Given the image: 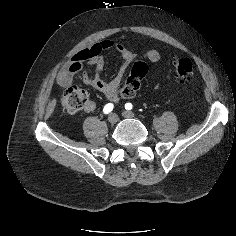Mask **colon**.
Returning <instances> with one entry per match:
<instances>
[{"mask_svg":"<svg viewBox=\"0 0 236 236\" xmlns=\"http://www.w3.org/2000/svg\"><path fill=\"white\" fill-rule=\"evenodd\" d=\"M176 76L181 81H189L193 76V64L189 58H181L174 63ZM148 73V65L143 61L133 63L131 71L125 80L122 91L124 93L139 89L141 81ZM136 91V92H137ZM88 103L87 92L76 86L70 85L65 88L62 95V106L66 113L73 115L79 112Z\"/></svg>","mask_w":236,"mask_h":236,"instance_id":"5ec220e1","label":"colon"}]
</instances>
